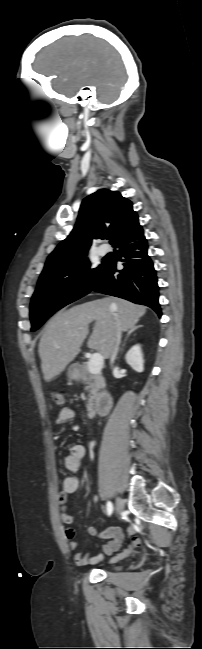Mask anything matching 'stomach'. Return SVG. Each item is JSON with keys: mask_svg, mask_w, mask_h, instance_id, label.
<instances>
[{"mask_svg": "<svg viewBox=\"0 0 202 649\" xmlns=\"http://www.w3.org/2000/svg\"><path fill=\"white\" fill-rule=\"evenodd\" d=\"M79 369L77 365H71L68 370V377L72 380L78 379Z\"/></svg>", "mask_w": 202, "mask_h": 649, "instance_id": "0dacf381", "label": "stomach"}]
</instances>
